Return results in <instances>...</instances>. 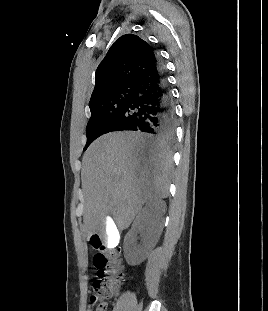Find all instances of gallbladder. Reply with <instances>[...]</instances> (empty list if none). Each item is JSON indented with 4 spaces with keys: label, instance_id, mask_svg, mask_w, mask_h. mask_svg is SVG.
Here are the masks:
<instances>
[{
    "label": "gallbladder",
    "instance_id": "gallbladder-1",
    "mask_svg": "<svg viewBox=\"0 0 268 311\" xmlns=\"http://www.w3.org/2000/svg\"><path fill=\"white\" fill-rule=\"evenodd\" d=\"M100 223L101 245L105 246L106 249H113L114 246L118 245L120 239L119 229L118 227H114L115 225L110 216H105Z\"/></svg>",
    "mask_w": 268,
    "mask_h": 311
}]
</instances>
